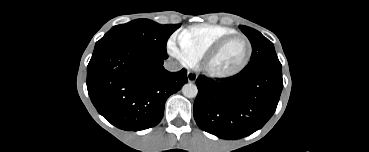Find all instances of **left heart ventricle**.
Wrapping results in <instances>:
<instances>
[{"mask_svg":"<svg viewBox=\"0 0 369 152\" xmlns=\"http://www.w3.org/2000/svg\"><path fill=\"white\" fill-rule=\"evenodd\" d=\"M247 45L243 39L228 42L209 62L211 69L218 72H229L237 68L244 60Z\"/></svg>","mask_w":369,"mask_h":152,"instance_id":"left-heart-ventricle-1","label":"left heart ventricle"}]
</instances>
